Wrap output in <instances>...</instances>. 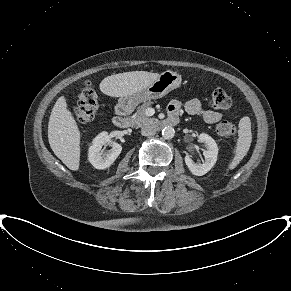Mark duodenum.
<instances>
[{
    "instance_id": "obj_1",
    "label": "duodenum",
    "mask_w": 291,
    "mask_h": 291,
    "mask_svg": "<svg viewBox=\"0 0 291 291\" xmlns=\"http://www.w3.org/2000/svg\"><path fill=\"white\" fill-rule=\"evenodd\" d=\"M130 107L126 104L120 105L115 113L113 118V123L119 128H126L129 126V114ZM177 123L176 117H169L165 120H162L158 123L159 127L174 126Z\"/></svg>"
}]
</instances>
